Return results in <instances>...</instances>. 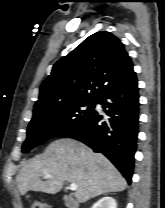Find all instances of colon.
I'll use <instances>...</instances> for the list:
<instances>
[{
  "label": "colon",
  "instance_id": "obj_1",
  "mask_svg": "<svg viewBox=\"0 0 165 208\" xmlns=\"http://www.w3.org/2000/svg\"><path fill=\"white\" fill-rule=\"evenodd\" d=\"M30 208H48V207L39 200H33L30 204Z\"/></svg>",
  "mask_w": 165,
  "mask_h": 208
}]
</instances>
